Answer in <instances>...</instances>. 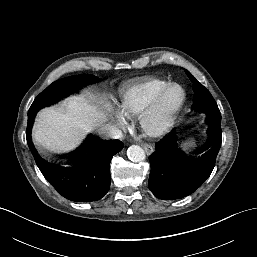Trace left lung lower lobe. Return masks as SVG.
I'll return each instance as SVG.
<instances>
[{"label": "left lung lower lobe", "instance_id": "left-lung-lower-lobe-1", "mask_svg": "<svg viewBox=\"0 0 257 257\" xmlns=\"http://www.w3.org/2000/svg\"><path fill=\"white\" fill-rule=\"evenodd\" d=\"M207 142L194 154L180 148L175 130L156 144L150 155L149 188L155 197L175 200L192 194L210 176L221 147V114L206 119Z\"/></svg>", "mask_w": 257, "mask_h": 257}]
</instances>
